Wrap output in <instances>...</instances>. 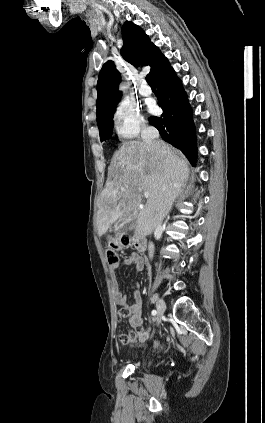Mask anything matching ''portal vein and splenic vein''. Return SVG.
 I'll list each match as a JSON object with an SVG mask.
<instances>
[{"instance_id":"1","label":"portal vein and splenic vein","mask_w":265,"mask_h":423,"mask_svg":"<svg viewBox=\"0 0 265 423\" xmlns=\"http://www.w3.org/2000/svg\"><path fill=\"white\" fill-rule=\"evenodd\" d=\"M144 196H145V198H148L149 197V193L148 192H144ZM142 208H143V206H142Z\"/></svg>"}]
</instances>
